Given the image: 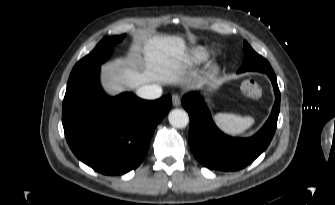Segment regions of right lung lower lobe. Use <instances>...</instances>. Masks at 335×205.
<instances>
[{"instance_id":"right-lung-lower-lobe-1","label":"right lung lower lobe","mask_w":335,"mask_h":205,"mask_svg":"<svg viewBox=\"0 0 335 205\" xmlns=\"http://www.w3.org/2000/svg\"><path fill=\"white\" fill-rule=\"evenodd\" d=\"M99 71L100 66L93 67L68 80L62 105L64 133L79 160L102 174L120 175L142 162L172 98L107 96L99 84Z\"/></svg>"}]
</instances>
